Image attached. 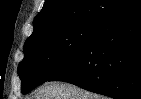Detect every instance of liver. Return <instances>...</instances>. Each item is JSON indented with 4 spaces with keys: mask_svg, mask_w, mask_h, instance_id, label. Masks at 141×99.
<instances>
[{
    "mask_svg": "<svg viewBox=\"0 0 141 99\" xmlns=\"http://www.w3.org/2000/svg\"><path fill=\"white\" fill-rule=\"evenodd\" d=\"M29 99H105L75 85L53 82L40 87Z\"/></svg>",
    "mask_w": 141,
    "mask_h": 99,
    "instance_id": "obj_1",
    "label": "liver"
}]
</instances>
